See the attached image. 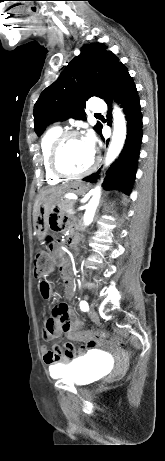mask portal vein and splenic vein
Listing matches in <instances>:
<instances>
[{"instance_id": "1", "label": "portal vein and splenic vein", "mask_w": 165, "mask_h": 461, "mask_svg": "<svg viewBox=\"0 0 165 461\" xmlns=\"http://www.w3.org/2000/svg\"><path fill=\"white\" fill-rule=\"evenodd\" d=\"M67 213H68V214H73V213H75V211H74V209H68V210H67Z\"/></svg>"}]
</instances>
